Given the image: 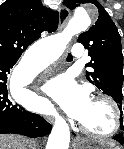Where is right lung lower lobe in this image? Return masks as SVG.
<instances>
[{
  "label": "right lung lower lobe",
  "instance_id": "98d812e1",
  "mask_svg": "<svg viewBox=\"0 0 124 149\" xmlns=\"http://www.w3.org/2000/svg\"><path fill=\"white\" fill-rule=\"evenodd\" d=\"M17 60L0 61V134H21L31 138L46 136L52 126L41 116L26 111L8 96L7 78Z\"/></svg>",
  "mask_w": 124,
  "mask_h": 149
}]
</instances>
